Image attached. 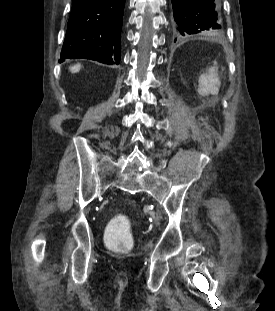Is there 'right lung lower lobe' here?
I'll return each instance as SVG.
<instances>
[{
	"instance_id": "98d812e1",
	"label": "right lung lower lobe",
	"mask_w": 275,
	"mask_h": 311,
	"mask_svg": "<svg viewBox=\"0 0 275 311\" xmlns=\"http://www.w3.org/2000/svg\"><path fill=\"white\" fill-rule=\"evenodd\" d=\"M125 0H73L60 61L91 59L117 65Z\"/></svg>"
}]
</instances>
